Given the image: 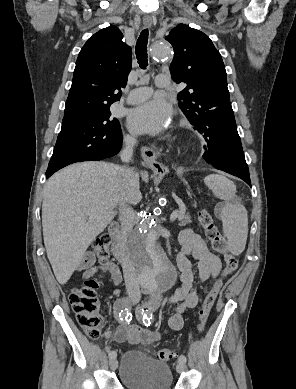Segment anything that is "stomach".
Here are the masks:
<instances>
[{"instance_id":"obj_1","label":"stomach","mask_w":296,"mask_h":389,"mask_svg":"<svg viewBox=\"0 0 296 389\" xmlns=\"http://www.w3.org/2000/svg\"><path fill=\"white\" fill-rule=\"evenodd\" d=\"M151 176L156 185H163L165 183L166 171L164 169L156 168L152 171Z\"/></svg>"}]
</instances>
